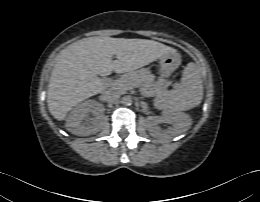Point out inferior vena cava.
<instances>
[{"instance_id":"602c4592","label":"inferior vena cava","mask_w":260,"mask_h":202,"mask_svg":"<svg viewBox=\"0 0 260 202\" xmlns=\"http://www.w3.org/2000/svg\"><path fill=\"white\" fill-rule=\"evenodd\" d=\"M119 97H120V93L114 90H107L103 93L104 100L109 103L118 102Z\"/></svg>"}]
</instances>
